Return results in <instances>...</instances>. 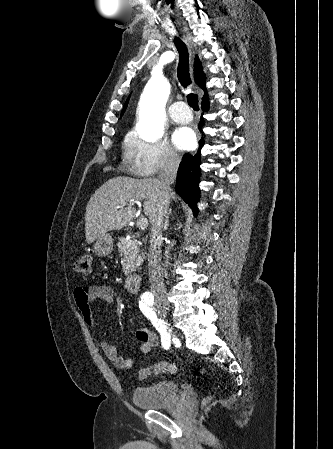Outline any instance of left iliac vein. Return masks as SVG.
Segmentation results:
<instances>
[{
	"mask_svg": "<svg viewBox=\"0 0 333 449\" xmlns=\"http://www.w3.org/2000/svg\"><path fill=\"white\" fill-rule=\"evenodd\" d=\"M158 313H159L160 315H162L163 317H165V314L162 313L161 311H158Z\"/></svg>",
	"mask_w": 333,
	"mask_h": 449,
	"instance_id": "4c4485c4",
	"label": "left iliac vein"
}]
</instances>
